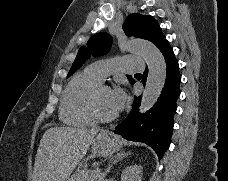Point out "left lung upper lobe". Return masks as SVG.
<instances>
[{
	"instance_id": "1",
	"label": "left lung upper lobe",
	"mask_w": 228,
	"mask_h": 181,
	"mask_svg": "<svg viewBox=\"0 0 228 181\" xmlns=\"http://www.w3.org/2000/svg\"><path fill=\"white\" fill-rule=\"evenodd\" d=\"M123 30L129 37L135 36L146 39L155 45L165 38L160 26L152 16H145L139 13H134L127 17L123 24ZM111 43L112 37L105 32L93 35L88 40L86 47L82 46L79 49L76 59L68 73V77L80 68L90 55L96 57L107 53L111 47ZM127 77L131 83L134 81L130 75H127Z\"/></svg>"
}]
</instances>
